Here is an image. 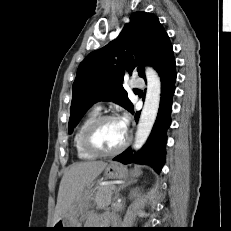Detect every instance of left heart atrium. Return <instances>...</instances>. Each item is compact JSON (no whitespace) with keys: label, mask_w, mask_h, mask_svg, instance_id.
I'll return each instance as SVG.
<instances>
[{"label":"left heart atrium","mask_w":231,"mask_h":231,"mask_svg":"<svg viewBox=\"0 0 231 231\" xmlns=\"http://www.w3.org/2000/svg\"><path fill=\"white\" fill-rule=\"evenodd\" d=\"M121 128L127 132V129H128V124H129V120L127 118V116H122L119 120H118Z\"/></svg>","instance_id":"obj_1"}]
</instances>
